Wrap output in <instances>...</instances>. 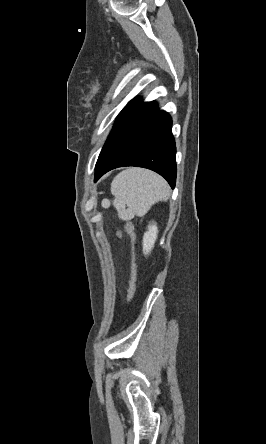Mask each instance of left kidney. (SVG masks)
I'll return each mask as SVG.
<instances>
[{"mask_svg":"<svg viewBox=\"0 0 266 444\" xmlns=\"http://www.w3.org/2000/svg\"><path fill=\"white\" fill-rule=\"evenodd\" d=\"M158 228L156 223L149 224L148 230L144 233L143 236V253L144 255H148L154 247L155 241L157 239Z\"/></svg>","mask_w":266,"mask_h":444,"instance_id":"5707ae66","label":"left kidney"}]
</instances>
